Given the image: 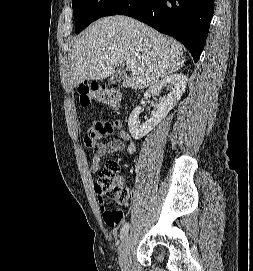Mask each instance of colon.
Returning <instances> with one entry per match:
<instances>
[{"label":"colon","instance_id":"1","mask_svg":"<svg viewBox=\"0 0 253 271\" xmlns=\"http://www.w3.org/2000/svg\"><path fill=\"white\" fill-rule=\"evenodd\" d=\"M78 89L82 105L98 101L115 109L120 108L121 96L116 90L96 83H81ZM117 171L118 165L115 162H107L98 171V179L95 183V190L99 194L101 201L107 200L112 204V208L105 209L103 214L106 224L110 227L118 226L123 220V208L129 197L128 190L116 176Z\"/></svg>","mask_w":253,"mask_h":271}]
</instances>
